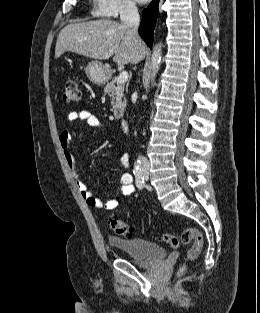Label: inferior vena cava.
I'll return each mask as SVG.
<instances>
[{
    "instance_id": "1",
    "label": "inferior vena cava",
    "mask_w": 260,
    "mask_h": 313,
    "mask_svg": "<svg viewBox=\"0 0 260 313\" xmlns=\"http://www.w3.org/2000/svg\"><path fill=\"white\" fill-rule=\"evenodd\" d=\"M120 19L122 25L129 27L137 35L140 23V16L137 7L133 3L125 2L120 10ZM140 164L149 167V162L145 157H139Z\"/></svg>"
}]
</instances>
